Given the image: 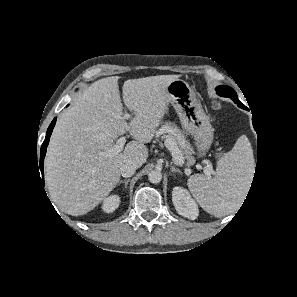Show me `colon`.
Segmentation results:
<instances>
[{
  "instance_id": "1",
  "label": "colon",
  "mask_w": 297,
  "mask_h": 297,
  "mask_svg": "<svg viewBox=\"0 0 297 297\" xmlns=\"http://www.w3.org/2000/svg\"><path fill=\"white\" fill-rule=\"evenodd\" d=\"M212 107L215 110H219L221 108V105H220L219 101L214 100V101H212Z\"/></svg>"
}]
</instances>
